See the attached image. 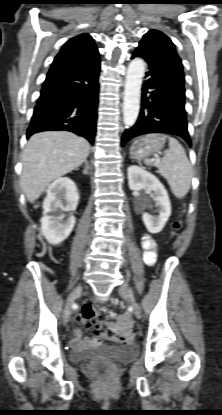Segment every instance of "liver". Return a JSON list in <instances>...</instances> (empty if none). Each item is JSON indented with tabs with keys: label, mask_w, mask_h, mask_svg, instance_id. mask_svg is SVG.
<instances>
[{
	"label": "liver",
	"mask_w": 222,
	"mask_h": 415,
	"mask_svg": "<svg viewBox=\"0 0 222 415\" xmlns=\"http://www.w3.org/2000/svg\"><path fill=\"white\" fill-rule=\"evenodd\" d=\"M89 142L67 131H47L33 135L23 152L20 185L33 203L55 179L86 161Z\"/></svg>",
	"instance_id": "6515ba94"
}]
</instances>
